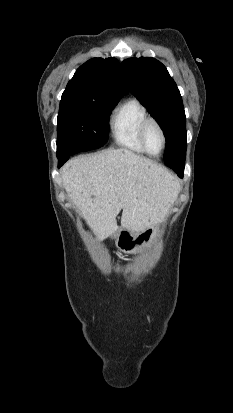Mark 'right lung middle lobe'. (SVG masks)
I'll return each instance as SVG.
<instances>
[{"label": "right lung middle lobe", "instance_id": "right-lung-middle-lobe-1", "mask_svg": "<svg viewBox=\"0 0 233 413\" xmlns=\"http://www.w3.org/2000/svg\"><path fill=\"white\" fill-rule=\"evenodd\" d=\"M119 99L62 95L57 124V156H70L103 146L108 117Z\"/></svg>", "mask_w": 233, "mask_h": 413}]
</instances>
